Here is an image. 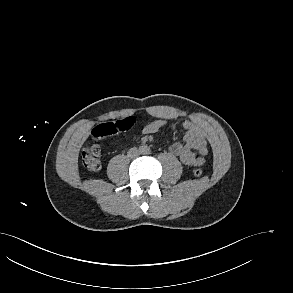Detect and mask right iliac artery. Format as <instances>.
<instances>
[{"mask_svg": "<svg viewBox=\"0 0 293 293\" xmlns=\"http://www.w3.org/2000/svg\"><path fill=\"white\" fill-rule=\"evenodd\" d=\"M139 149H140L141 151H143V150H144V147H143V146H141Z\"/></svg>", "mask_w": 293, "mask_h": 293, "instance_id": "right-iliac-artery-1", "label": "right iliac artery"}]
</instances>
